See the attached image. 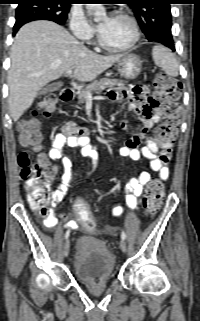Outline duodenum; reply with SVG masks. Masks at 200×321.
Masks as SVG:
<instances>
[{
  "instance_id": "obj_1",
  "label": "duodenum",
  "mask_w": 200,
  "mask_h": 321,
  "mask_svg": "<svg viewBox=\"0 0 200 321\" xmlns=\"http://www.w3.org/2000/svg\"><path fill=\"white\" fill-rule=\"evenodd\" d=\"M75 93L72 89L65 88L61 92V99L64 102H70L74 99Z\"/></svg>"
}]
</instances>
